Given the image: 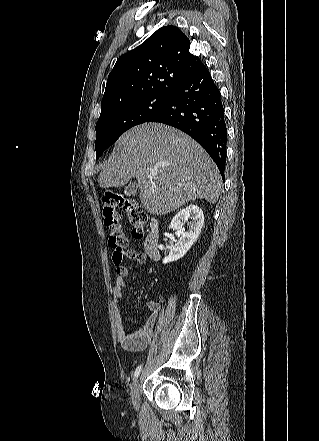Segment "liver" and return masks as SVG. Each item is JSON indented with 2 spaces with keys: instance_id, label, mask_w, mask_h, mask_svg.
I'll return each mask as SVG.
<instances>
[{
  "instance_id": "6515ba94",
  "label": "liver",
  "mask_w": 319,
  "mask_h": 441,
  "mask_svg": "<svg viewBox=\"0 0 319 441\" xmlns=\"http://www.w3.org/2000/svg\"><path fill=\"white\" fill-rule=\"evenodd\" d=\"M158 172L157 176L150 174ZM136 178L143 207L167 214L195 199L214 204L222 179L204 149L182 131L144 123L125 132L98 176L101 188L121 187Z\"/></svg>"
}]
</instances>
